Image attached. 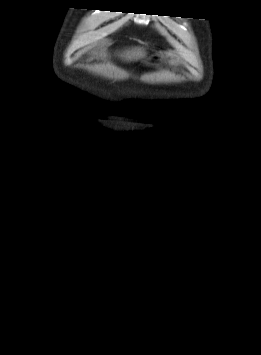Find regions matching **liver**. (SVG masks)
<instances>
[{"label":"liver","instance_id":"liver-1","mask_svg":"<svg viewBox=\"0 0 261 355\" xmlns=\"http://www.w3.org/2000/svg\"><path fill=\"white\" fill-rule=\"evenodd\" d=\"M146 55V52L144 51V49H141V48H135V49H132L130 51H126L124 53V57L127 58V59H140V58H143L145 57Z\"/></svg>","mask_w":261,"mask_h":355}]
</instances>
